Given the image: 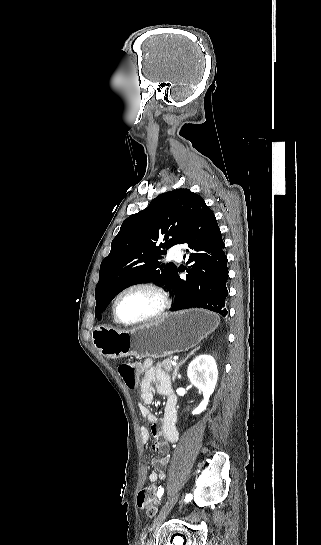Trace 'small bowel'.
Instances as JSON below:
<instances>
[{"instance_id": "obj_1", "label": "small bowel", "mask_w": 321, "mask_h": 545, "mask_svg": "<svg viewBox=\"0 0 321 545\" xmlns=\"http://www.w3.org/2000/svg\"><path fill=\"white\" fill-rule=\"evenodd\" d=\"M143 378L140 384L139 410L143 418L151 424L150 431L146 427L140 428L142 442H148L150 435L153 437L152 449L159 456L153 458L152 463L156 470L149 475L151 482L162 480L166 477V467L170 461L169 444H174L179 439L177 423V398L173 392L169 377L165 372L154 366L152 360L146 359L141 365ZM153 384L157 385V392L167 398L164 415L159 420L148 408L154 399Z\"/></svg>"}]
</instances>
